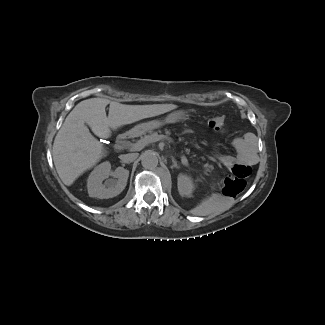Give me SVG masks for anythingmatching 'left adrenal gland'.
<instances>
[{"instance_id": "a2214340", "label": "left adrenal gland", "mask_w": 325, "mask_h": 325, "mask_svg": "<svg viewBox=\"0 0 325 325\" xmlns=\"http://www.w3.org/2000/svg\"><path fill=\"white\" fill-rule=\"evenodd\" d=\"M172 162H173V165L171 166V168H179L177 161L175 160L174 157H172Z\"/></svg>"}]
</instances>
